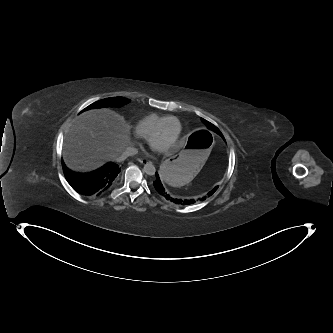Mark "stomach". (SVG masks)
<instances>
[{
	"label": "stomach",
	"instance_id": "0dacf381",
	"mask_svg": "<svg viewBox=\"0 0 333 333\" xmlns=\"http://www.w3.org/2000/svg\"><path fill=\"white\" fill-rule=\"evenodd\" d=\"M213 146L214 138L210 130H195L192 137L181 143L176 155L161 164V181L175 187L189 183L198 173L200 164L206 160Z\"/></svg>",
	"mask_w": 333,
	"mask_h": 333
}]
</instances>
